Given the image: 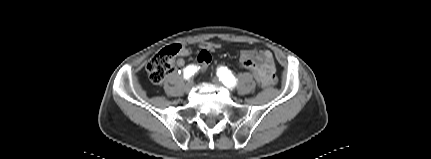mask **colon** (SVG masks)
Here are the masks:
<instances>
[{
	"instance_id": "colon-1",
	"label": "colon",
	"mask_w": 431,
	"mask_h": 159,
	"mask_svg": "<svg viewBox=\"0 0 431 159\" xmlns=\"http://www.w3.org/2000/svg\"><path fill=\"white\" fill-rule=\"evenodd\" d=\"M182 53L186 57H189L193 53V50L188 47L182 48L180 45H171L157 52L146 65V70L150 80L155 84L161 83L167 74L173 70L174 60ZM211 61L212 56L210 53L200 52L198 54L196 62L199 66H203L198 69V74L200 76H206L208 74V69L206 67L210 66ZM238 65L241 66L243 70L246 68L251 70L258 92H261L262 88L260 87L262 81L259 78L260 76L258 75V71L252 66L242 62H238Z\"/></svg>"
}]
</instances>
